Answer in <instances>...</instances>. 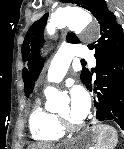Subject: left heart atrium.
I'll use <instances>...</instances> for the list:
<instances>
[{"instance_id": "1", "label": "left heart atrium", "mask_w": 124, "mask_h": 149, "mask_svg": "<svg viewBox=\"0 0 124 149\" xmlns=\"http://www.w3.org/2000/svg\"><path fill=\"white\" fill-rule=\"evenodd\" d=\"M91 101L87 91L80 85L70 90V114L72 118L83 120L90 111Z\"/></svg>"}]
</instances>
